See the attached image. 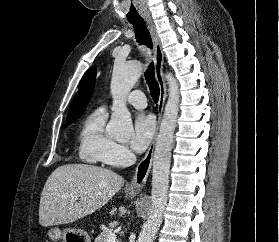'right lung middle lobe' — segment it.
I'll list each match as a JSON object with an SVG mask.
<instances>
[{
	"label": "right lung middle lobe",
	"instance_id": "obj_1",
	"mask_svg": "<svg viewBox=\"0 0 279 242\" xmlns=\"http://www.w3.org/2000/svg\"><path fill=\"white\" fill-rule=\"evenodd\" d=\"M72 122H74V121H71V122H66L67 126H68L69 124H71Z\"/></svg>",
	"mask_w": 279,
	"mask_h": 242
}]
</instances>
